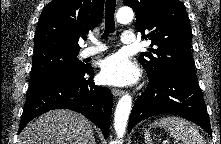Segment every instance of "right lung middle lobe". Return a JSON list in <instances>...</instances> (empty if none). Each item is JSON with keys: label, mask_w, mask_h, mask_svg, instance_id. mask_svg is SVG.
Here are the masks:
<instances>
[{"label": "right lung middle lobe", "mask_w": 221, "mask_h": 144, "mask_svg": "<svg viewBox=\"0 0 221 144\" xmlns=\"http://www.w3.org/2000/svg\"><path fill=\"white\" fill-rule=\"evenodd\" d=\"M77 56L78 52L60 50H47L34 53L29 85L53 73L84 68L85 65Z\"/></svg>", "instance_id": "dd1d6c3e"}]
</instances>
